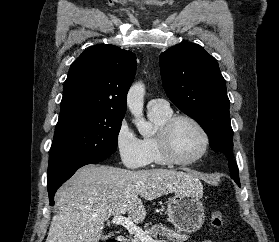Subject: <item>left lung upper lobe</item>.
Masks as SVG:
<instances>
[{
    "instance_id": "left-lung-upper-lobe-1",
    "label": "left lung upper lobe",
    "mask_w": 279,
    "mask_h": 242,
    "mask_svg": "<svg viewBox=\"0 0 279 242\" xmlns=\"http://www.w3.org/2000/svg\"><path fill=\"white\" fill-rule=\"evenodd\" d=\"M159 63L167 96L202 126L211 148L230 159V176L239 186L238 167L232 160L230 101L217 60L198 44L182 43L161 53Z\"/></svg>"
}]
</instances>
